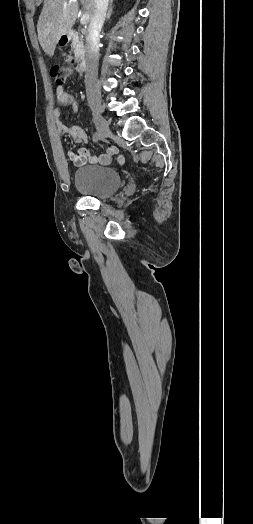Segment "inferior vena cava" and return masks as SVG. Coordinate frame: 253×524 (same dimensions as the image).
Wrapping results in <instances>:
<instances>
[{"label": "inferior vena cava", "instance_id": "inferior-vena-cava-1", "mask_svg": "<svg viewBox=\"0 0 253 524\" xmlns=\"http://www.w3.org/2000/svg\"><path fill=\"white\" fill-rule=\"evenodd\" d=\"M94 10L90 20L88 34L86 36V72L85 86L87 100L90 105L96 99V81L99 61V34L102 29L109 0H94Z\"/></svg>", "mask_w": 253, "mask_h": 524}]
</instances>
